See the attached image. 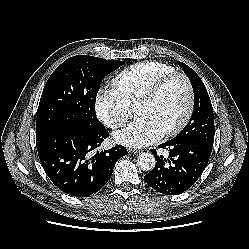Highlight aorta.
I'll use <instances>...</instances> for the list:
<instances>
[{"instance_id":"aorta-1","label":"aorta","mask_w":249,"mask_h":249,"mask_svg":"<svg viewBox=\"0 0 249 249\" xmlns=\"http://www.w3.org/2000/svg\"><path fill=\"white\" fill-rule=\"evenodd\" d=\"M137 164L143 171H151L156 164L155 157L150 152H142L137 157Z\"/></svg>"}]
</instances>
